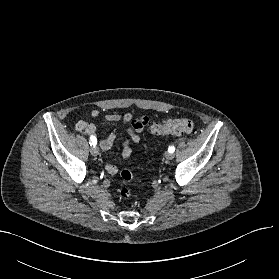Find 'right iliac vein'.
I'll return each instance as SVG.
<instances>
[{
    "mask_svg": "<svg viewBox=\"0 0 279 279\" xmlns=\"http://www.w3.org/2000/svg\"><path fill=\"white\" fill-rule=\"evenodd\" d=\"M90 152L93 156H97L99 154V149L96 147V146H93L91 149H90Z\"/></svg>",
    "mask_w": 279,
    "mask_h": 279,
    "instance_id": "right-iliac-vein-1",
    "label": "right iliac vein"
}]
</instances>
